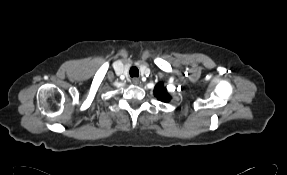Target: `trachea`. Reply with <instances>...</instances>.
Returning <instances> with one entry per match:
<instances>
[{"mask_svg":"<svg viewBox=\"0 0 287 175\" xmlns=\"http://www.w3.org/2000/svg\"><path fill=\"white\" fill-rule=\"evenodd\" d=\"M129 73H130V76H131V77H138V75H139V70H138L137 67H131Z\"/></svg>","mask_w":287,"mask_h":175,"instance_id":"obj_1","label":"trachea"}]
</instances>
